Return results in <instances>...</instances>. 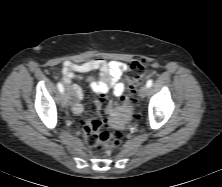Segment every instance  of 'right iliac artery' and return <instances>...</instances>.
Returning <instances> with one entry per match:
<instances>
[{"mask_svg":"<svg viewBox=\"0 0 222 187\" xmlns=\"http://www.w3.org/2000/svg\"><path fill=\"white\" fill-rule=\"evenodd\" d=\"M57 87H58V90H59L61 93L64 92V87H63V85H62L61 82H58Z\"/></svg>","mask_w":222,"mask_h":187,"instance_id":"82829eb1","label":"right iliac artery"}]
</instances>
